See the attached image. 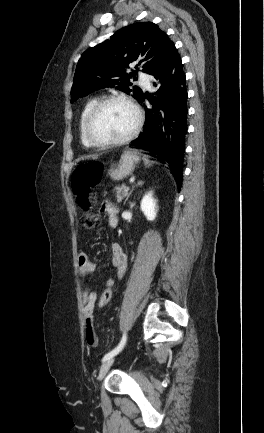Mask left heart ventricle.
<instances>
[{
    "label": "left heart ventricle",
    "mask_w": 264,
    "mask_h": 433,
    "mask_svg": "<svg viewBox=\"0 0 264 433\" xmlns=\"http://www.w3.org/2000/svg\"><path fill=\"white\" fill-rule=\"evenodd\" d=\"M135 114L123 103H110L94 117L90 131L98 140H115L125 136L133 128Z\"/></svg>",
    "instance_id": "left-heart-ventricle-1"
}]
</instances>
